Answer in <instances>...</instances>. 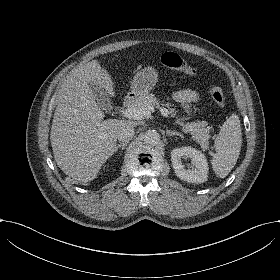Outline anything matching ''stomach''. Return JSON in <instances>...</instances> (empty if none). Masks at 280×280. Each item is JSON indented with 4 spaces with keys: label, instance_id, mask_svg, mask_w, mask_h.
Returning a JSON list of instances; mask_svg holds the SVG:
<instances>
[{
    "label": "stomach",
    "instance_id": "0dacf381",
    "mask_svg": "<svg viewBox=\"0 0 280 280\" xmlns=\"http://www.w3.org/2000/svg\"><path fill=\"white\" fill-rule=\"evenodd\" d=\"M157 82V73L152 68H145L137 73L131 83V93L129 97L136 99L140 95H146L150 90L153 89Z\"/></svg>",
    "mask_w": 280,
    "mask_h": 280
}]
</instances>
